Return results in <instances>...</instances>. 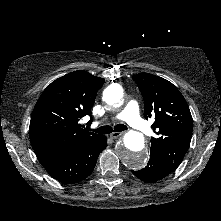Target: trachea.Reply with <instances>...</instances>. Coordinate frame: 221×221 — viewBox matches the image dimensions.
Here are the masks:
<instances>
[{
	"instance_id": "1",
	"label": "trachea",
	"mask_w": 221,
	"mask_h": 221,
	"mask_svg": "<svg viewBox=\"0 0 221 221\" xmlns=\"http://www.w3.org/2000/svg\"><path fill=\"white\" fill-rule=\"evenodd\" d=\"M125 130H127V127L124 124H117V125L114 126V131L121 132V131H125ZM112 131H113V129L109 125L102 126L98 129L94 130V132L99 133V134H109Z\"/></svg>"
}]
</instances>
